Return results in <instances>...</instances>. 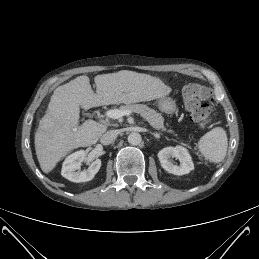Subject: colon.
I'll return each instance as SVG.
<instances>
[{"label": "colon", "instance_id": "1", "mask_svg": "<svg viewBox=\"0 0 259 259\" xmlns=\"http://www.w3.org/2000/svg\"><path fill=\"white\" fill-rule=\"evenodd\" d=\"M184 107L191 120L199 127L205 128L212 119L209 105L210 91L200 84H187L182 90Z\"/></svg>", "mask_w": 259, "mask_h": 259}]
</instances>
